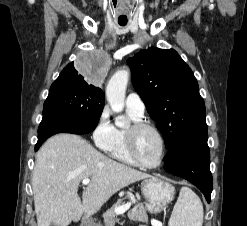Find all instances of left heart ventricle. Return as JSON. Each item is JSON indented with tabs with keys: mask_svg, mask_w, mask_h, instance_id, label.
Instances as JSON below:
<instances>
[{
	"mask_svg": "<svg viewBox=\"0 0 247 226\" xmlns=\"http://www.w3.org/2000/svg\"><path fill=\"white\" fill-rule=\"evenodd\" d=\"M136 151L146 164H155L161 154V144L157 135L149 130H141L136 136Z\"/></svg>",
	"mask_w": 247,
	"mask_h": 226,
	"instance_id": "left-heart-ventricle-1",
	"label": "left heart ventricle"
}]
</instances>
